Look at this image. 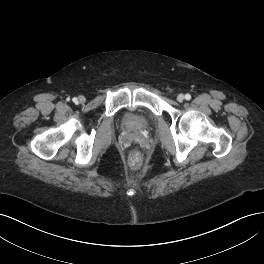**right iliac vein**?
<instances>
[{"mask_svg":"<svg viewBox=\"0 0 264 264\" xmlns=\"http://www.w3.org/2000/svg\"><path fill=\"white\" fill-rule=\"evenodd\" d=\"M85 101H86V98H85L84 96H79V97H78V102H79V103L82 104V103H84Z\"/></svg>","mask_w":264,"mask_h":264,"instance_id":"right-iliac-vein-1","label":"right iliac vein"}]
</instances>
